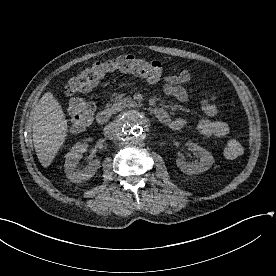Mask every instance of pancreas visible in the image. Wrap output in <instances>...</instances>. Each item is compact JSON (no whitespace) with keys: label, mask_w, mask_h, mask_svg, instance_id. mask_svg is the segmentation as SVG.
Here are the masks:
<instances>
[{"label":"pancreas","mask_w":276,"mask_h":276,"mask_svg":"<svg viewBox=\"0 0 276 276\" xmlns=\"http://www.w3.org/2000/svg\"><path fill=\"white\" fill-rule=\"evenodd\" d=\"M113 112H119L125 107L135 106V102L131 97H124V94H118L116 97L111 99V103L108 105Z\"/></svg>","instance_id":"obj_1"}]
</instances>
